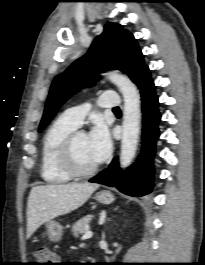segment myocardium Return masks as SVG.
I'll use <instances>...</instances> for the list:
<instances>
[{
    "label": "myocardium",
    "mask_w": 205,
    "mask_h": 265,
    "mask_svg": "<svg viewBox=\"0 0 205 265\" xmlns=\"http://www.w3.org/2000/svg\"><path fill=\"white\" fill-rule=\"evenodd\" d=\"M85 134L83 130L72 131L64 140L60 151V163L63 169L72 177L84 178L97 172L99 165L88 169L79 168L74 159V144L78 136Z\"/></svg>",
    "instance_id": "1"
}]
</instances>
